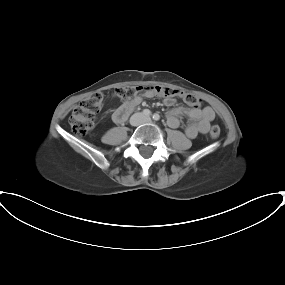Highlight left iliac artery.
<instances>
[{
	"instance_id": "44dca946",
	"label": "left iliac artery",
	"mask_w": 285,
	"mask_h": 285,
	"mask_svg": "<svg viewBox=\"0 0 285 285\" xmlns=\"http://www.w3.org/2000/svg\"><path fill=\"white\" fill-rule=\"evenodd\" d=\"M152 118L155 120V121H158L160 119V116L158 114H153Z\"/></svg>"
}]
</instances>
